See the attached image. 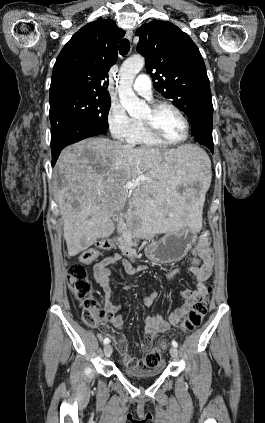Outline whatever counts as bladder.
I'll use <instances>...</instances> for the list:
<instances>
[{"label":"bladder","instance_id":"bladder-1","mask_svg":"<svg viewBox=\"0 0 265 423\" xmlns=\"http://www.w3.org/2000/svg\"><path fill=\"white\" fill-rule=\"evenodd\" d=\"M162 368H152V369H142V368H132L128 366L123 367V372L134 378H147L155 377L162 373Z\"/></svg>","mask_w":265,"mask_h":423}]
</instances>
